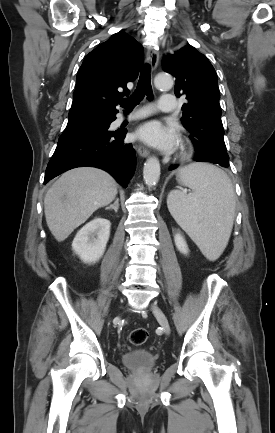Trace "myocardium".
<instances>
[{
  "label": "myocardium",
  "mask_w": 275,
  "mask_h": 433,
  "mask_svg": "<svg viewBox=\"0 0 275 433\" xmlns=\"http://www.w3.org/2000/svg\"><path fill=\"white\" fill-rule=\"evenodd\" d=\"M179 152H180V157L181 158H187L190 155L191 149L190 146L187 142L182 141L179 144Z\"/></svg>",
  "instance_id": "1"
}]
</instances>
